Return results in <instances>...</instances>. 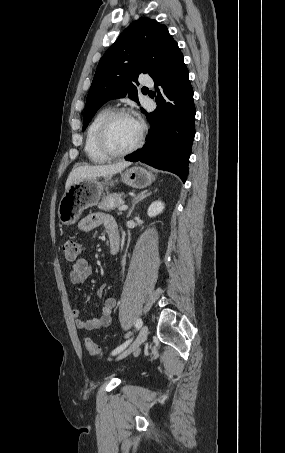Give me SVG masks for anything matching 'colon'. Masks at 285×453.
<instances>
[{
	"mask_svg": "<svg viewBox=\"0 0 285 453\" xmlns=\"http://www.w3.org/2000/svg\"><path fill=\"white\" fill-rule=\"evenodd\" d=\"M62 250L67 260H77L82 252L81 244L74 238H66L62 242ZM87 352L92 356H100L102 351L100 347L91 339H87L85 342Z\"/></svg>",
	"mask_w": 285,
	"mask_h": 453,
	"instance_id": "5ec220e1",
	"label": "colon"
}]
</instances>
